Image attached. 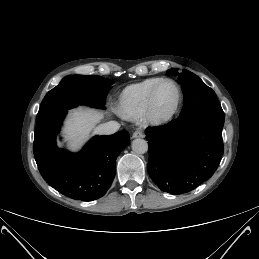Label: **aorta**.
<instances>
[{
  "label": "aorta",
  "mask_w": 259,
  "mask_h": 259,
  "mask_svg": "<svg viewBox=\"0 0 259 259\" xmlns=\"http://www.w3.org/2000/svg\"><path fill=\"white\" fill-rule=\"evenodd\" d=\"M132 150L136 154H144L148 151V143L144 139L137 138L132 142Z\"/></svg>",
  "instance_id": "762f6f07"
}]
</instances>
